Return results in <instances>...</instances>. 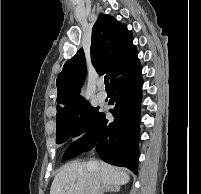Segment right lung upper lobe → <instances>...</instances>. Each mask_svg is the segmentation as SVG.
I'll use <instances>...</instances> for the list:
<instances>
[{
	"label": "right lung upper lobe",
	"mask_w": 201,
	"mask_h": 194,
	"mask_svg": "<svg viewBox=\"0 0 201 194\" xmlns=\"http://www.w3.org/2000/svg\"><path fill=\"white\" fill-rule=\"evenodd\" d=\"M132 32L114 17L99 14L92 29L91 59L96 71L108 73L112 82L127 72L137 61V50L132 43ZM86 74L83 49L68 60L58 75L56 119L73 113L85 101L79 96L80 86Z\"/></svg>",
	"instance_id": "right-lung-upper-lobe-1"
}]
</instances>
